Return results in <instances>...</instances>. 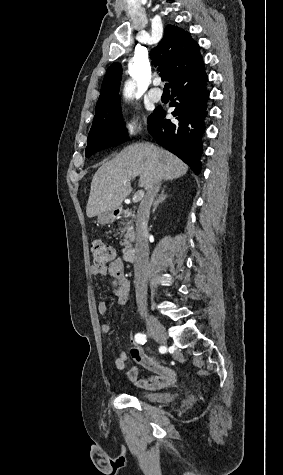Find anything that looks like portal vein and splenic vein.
Masks as SVG:
<instances>
[{"label": "portal vein and splenic vein", "mask_w": 283, "mask_h": 475, "mask_svg": "<svg viewBox=\"0 0 283 475\" xmlns=\"http://www.w3.org/2000/svg\"><path fill=\"white\" fill-rule=\"evenodd\" d=\"M127 182H130V180H125L124 184H127ZM143 196H144L143 190H138V192H136V194H134L133 196V202H140Z\"/></svg>", "instance_id": "1"}]
</instances>
